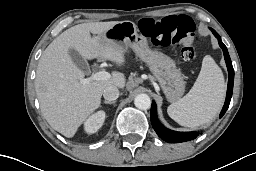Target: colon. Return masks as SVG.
<instances>
[{
    "label": "colon",
    "instance_id": "5ec220e1",
    "mask_svg": "<svg viewBox=\"0 0 256 171\" xmlns=\"http://www.w3.org/2000/svg\"><path fill=\"white\" fill-rule=\"evenodd\" d=\"M140 32L155 46L177 47L185 61L196 57L195 45L199 41L194 21L187 16H167L162 19L143 18L138 24Z\"/></svg>",
    "mask_w": 256,
    "mask_h": 171
}]
</instances>
